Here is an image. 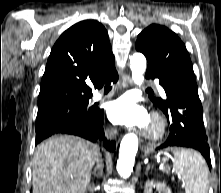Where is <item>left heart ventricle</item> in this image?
<instances>
[{"label": "left heart ventricle", "mask_w": 221, "mask_h": 193, "mask_svg": "<svg viewBox=\"0 0 221 193\" xmlns=\"http://www.w3.org/2000/svg\"><path fill=\"white\" fill-rule=\"evenodd\" d=\"M146 128L149 130H153L155 128V125L152 121L149 120L148 124L146 125Z\"/></svg>", "instance_id": "obj_1"}]
</instances>
